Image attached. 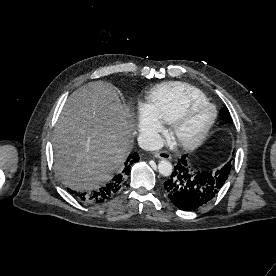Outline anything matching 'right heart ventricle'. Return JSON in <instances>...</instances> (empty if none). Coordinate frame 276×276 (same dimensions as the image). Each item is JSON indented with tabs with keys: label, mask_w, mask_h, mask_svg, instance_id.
I'll use <instances>...</instances> for the list:
<instances>
[{
	"label": "right heart ventricle",
	"mask_w": 276,
	"mask_h": 276,
	"mask_svg": "<svg viewBox=\"0 0 276 276\" xmlns=\"http://www.w3.org/2000/svg\"><path fill=\"white\" fill-rule=\"evenodd\" d=\"M206 99L197 88L182 82H168L157 86L151 93L146 112L160 122L172 120L191 101Z\"/></svg>",
	"instance_id": "1"
}]
</instances>
